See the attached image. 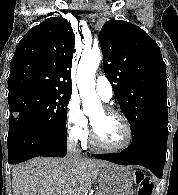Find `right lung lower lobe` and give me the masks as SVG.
<instances>
[{
    "label": "right lung lower lobe",
    "mask_w": 178,
    "mask_h": 195,
    "mask_svg": "<svg viewBox=\"0 0 178 195\" xmlns=\"http://www.w3.org/2000/svg\"><path fill=\"white\" fill-rule=\"evenodd\" d=\"M7 147L10 164L37 156L64 157L67 153L66 124L57 122L11 125Z\"/></svg>",
    "instance_id": "obj_1"
}]
</instances>
